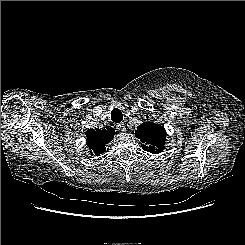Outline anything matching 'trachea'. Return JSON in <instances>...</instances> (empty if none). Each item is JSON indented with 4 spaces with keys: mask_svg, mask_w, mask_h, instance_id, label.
Here are the masks:
<instances>
[{
    "mask_svg": "<svg viewBox=\"0 0 245 245\" xmlns=\"http://www.w3.org/2000/svg\"><path fill=\"white\" fill-rule=\"evenodd\" d=\"M111 120L113 122H116V123L121 122L123 120V114H122V112L119 109L114 108L111 111Z\"/></svg>",
    "mask_w": 245,
    "mask_h": 245,
    "instance_id": "obj_1",
    "label": "trachea"
}]
</instances>
